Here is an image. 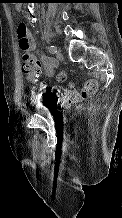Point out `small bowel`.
<instances>
[{
    "label": "small bowel",
    "mask_w": 122,
    "mask_h": 218,
    "mask_svg": "<svg viewBox=\"0 0 122 218\" xmlns=\"http://www.w3.org/2000/svg\"><path fill=\"white\" fill-rule=\"evenodd\" d=\"M31 50H32V54H33V57L39 62L40 64V68L43 67L44 68V71L45 73L48 75V76H52L53 75V69L55 67V62L46 57V56H40L38 55L36 52H34L35 50V44L33 41H31ZM25 70V69H24ZM26 71V70H25ZM39 72V71H38ZM39 74L36 73V76H38ZM61 78V77H60Z\"/></svg>",
    "instance_id": "small-bowel-1"
}]
</instances>
